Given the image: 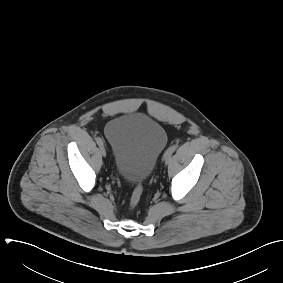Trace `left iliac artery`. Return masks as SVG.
Instances as JSON below:
<instances>
[{"label":"left iliac artery","instance_id":"obj_1","mask_svg":"<svg viewBox=\"0 0 283 283\" xmlns=\"http://www.w3.org/2000/svg\"><path fill=\"white\" fill-rule=\"evenodd\" d=\"M177 149V145H172L171 147H169L167 149V151L165 152L163 159H169L171 158L172 154L174 153V151Z\"/></svg>","mask_w":283,"mask_h":283}]
</instances>
